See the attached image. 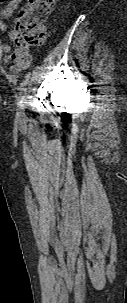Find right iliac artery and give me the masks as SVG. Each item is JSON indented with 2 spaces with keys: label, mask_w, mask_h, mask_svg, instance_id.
<instances>
[{
  "label": "right iliac artery",
  "mask_w": 127,
  "mask_h": 303,
  "mask_svg": "<svg viewBox=\"0 0 127 303\" xmlns=\"http://www.w3.org/2000/svg\"><path fill=\"white\" fill-rule=\"evenodd\" d=\"M29 77H26L24 82L20 86V103L25 99L27 88L26 85L28 83Z\"/></svg>",
  "instance_id": "obj_1"
}]
</instances>
